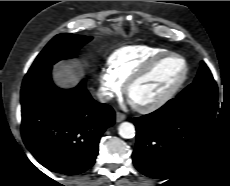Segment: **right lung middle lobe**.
Wrapping results in <instances>:
<instances>
[{
  "mask_svg": "<svg viewBox=\"0 0 230 186\" xmlns=\"http://www.w3.org/2000/svg\"><path fill=\"white\" fill-rule=\"evenodd\" d=\"M92 37L63 33L56 35L37 56L28 73L51 68L56 62L74 57Z\"/></svg>",
  "mask_w": 230,
  "mask_h": 186,
  "instance_id": "1",
  "label": "right lung middle lobe"
}]
</instances>
